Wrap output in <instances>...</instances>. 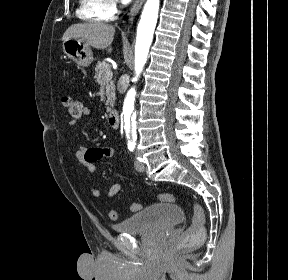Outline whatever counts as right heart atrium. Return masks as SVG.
Returning a JSON list of instances; mask_svg holds the SVG:
<instances>
[{"label": "right heart atrium", "instance_id": "d8ad5b80", "mask_svg": "<svg viewBox=\"0 0 288 280\" xmlns=\"http://www.w3.org/2000/svg\"><path fill=\"white\" fill-rule=\"evenodd\" d=\"M119 1L118 0H104V14L107 20L113 19L118 13Z\"/></svg>", "mask_w": 288, "mask_h": 280}]
</instances>
